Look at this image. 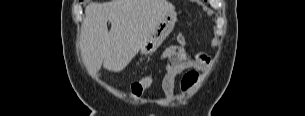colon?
I'll list each match as a JSON object with an SVG mask.
<instances>
[{
    "label": "colon",
    "mask_w": 305,
    "mask_h": 116,
    "mask_svg": "<svg viewBox=\"0 0 305 116\" xmlns=\"http://www.w3.org/2000/svg\"><path fill=\"white\" fill-rule=\"evenodd\" d=\"M178 42L180 44H186V38L184 35H178ZM187 78H193L195 76L194 72L190 71L185 75ZM153 83V77L151 75H146L138 80L132 82L130 86V93L133 98L140 99L145 92L150 88Z\"/></svg>",
    "instance_id": "1"
}]
</instances>
